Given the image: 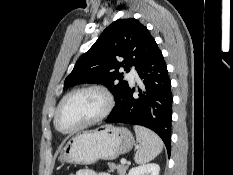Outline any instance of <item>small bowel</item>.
Instances as JSON below:
<instances>
[{
  "instance_id": "small-bowel-1",
  "label": "small bowel",
  "mask_w": 233,
  "mask_h": 175,
  "mask_svg": "<svg viewBox=\"0 0 233 175\" xmlns=\"http://www.w3.org/2000/svg\"><path fill=\"white\" fill-rule=\"evenodd\" d=\"M72 175H109V174H97L91 169H80Z\"/></svg>"
}]
</instances>
